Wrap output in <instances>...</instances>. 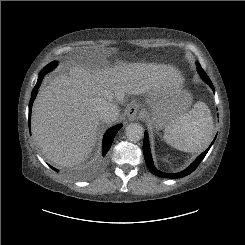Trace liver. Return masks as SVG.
Listing matches in <instances>:
<instances>
[{
    "instance_id": "obj_1",
    "label": "liver",
    "mask_w": 245,
    "mask_h": 245,
    "mask_svg": "<svg viewBox=\"0 0 245 245\" xmlns=\"http://www.w3.org/2000/svg\"><path fill=\"white\" fill-rule=\"evenodd\" d=\"M168 82L180 83L179 71L155 63H118L85 67L75 64L69 75L42 87L32 110V134L46 160L72 167L85 160L96 142L100 99L123 104L125 95L150 94Z\"/></svg>"
}]
</instances>
